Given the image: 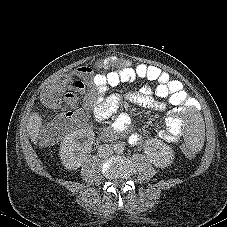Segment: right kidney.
Wrapping results in <instances>:
<instances>
[{
  "label": "right kidney",
  "instance_id": "right-kidney-1",
  "mask_svg": "<svg viewBox=\"0 0 227 227\" xmlns=\"http://www.w3.org/2000/svg\"><path fill=\"white\" fill-rule=\"evenodd\" d=\"M94 132L79 129L68 134L61 142L59 156L63 166L68 170H76L85 162L92 150Z\"/></svg>",
  "mask_w": 227,
  "mask_h": 227
}]
</instances>
